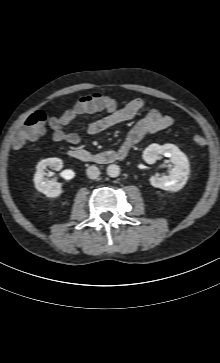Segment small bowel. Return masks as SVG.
I'll use <instances>...</instances> for the list:
<instances>
[{
    "instance_id": "c3829d8e",
    "label": "small bowel",
    "mask_w": 220,
    "mask_h": 363,
    "mask_svg": "<svg viewBox=\"0 0 220 363\" xmlns=\"http://www.w3.org/2000/svg\"><path fill=\"white\" fill-rule=\"evenodd\" d=\"M145 108V102L141 98H128L117 102L111 98L99 99L94 95L81 98L76 105L61 116L50 120L49 126L53 130V139L58 142L78 146L81 143L80 137L67 132L66 127L82 115H92L105 112V115L86 125L89 134H99L115 125L130 121L140 114ZM174 120L171 116L163 114L157 109H150L138 120L130 130L123 148L131 149L144 135L155 133L171 127Z\"/></svg>"
}]
</instances>
